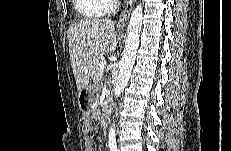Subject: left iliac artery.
<instances>
[{
  "instance_id": "obj_1",
  "label": "left iliac artery",
  "mask_w": 231,
  "mask_h": 151,
  "mask_svg": "<svg viewBox=\"0 0 231 151\" xmlns=\"http://www.w3.org/2000/svg\"><path fill=\"white\" fill-rule=\"evenodd\" d=\"M110 150L111 151H117V145L116 144L110 145Z\"/></svg>"
}]
</instances>
